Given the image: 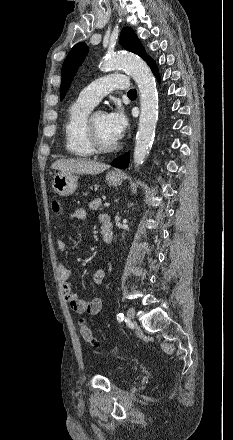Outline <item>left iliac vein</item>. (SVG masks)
Segmentation results:
<instances>
[{"label": "left iliac vein", "instance_id": "4c4485c4", "mask_svg": "<svg viewBox=\"0 0 233 440\" xmlns=\"http://www.w3.org/2000/svg\"><path fill=\"white\" fill-rule=\"evenodd\" d=\"M134 317H135V310L133 308H129L127 310V320L129 323H133L134 322Z\"/></svg>", "mask_w": 233, "mask_h": 440}]
</instances>
